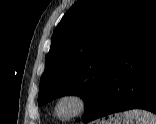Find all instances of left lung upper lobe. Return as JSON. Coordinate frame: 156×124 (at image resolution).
<instances>
[{
    "label": "left lung upper lobe",
    "instance_id": "obj_1",
    "mask_svg": "<svg viewBox=\"0 0 156 124\" xmlns=\"http://www.w3.org/2000/svg\"><path fill=\"white\" fill-rule=\"evenodd\" d=\"M156 11L155 0H80L54 30L38 105L79 95L88 115L117 60Z\"/></svg>",
    "mask_w": 156,
    "mask_h": 124
}]
</instances>
